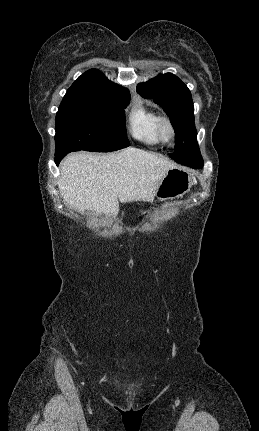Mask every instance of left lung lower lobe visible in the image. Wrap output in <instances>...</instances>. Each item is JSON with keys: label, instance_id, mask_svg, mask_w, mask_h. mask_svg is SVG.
I'll return each mask as SVG.
<instances>
[{"label": "left lung lower lobe", "instance_id": "0a47b994", "mask_svg": "<svg viewBox=\"0 0 259 431\" xmlns=\"http://www.w3.org/2000/svg\"><path fill=\"white\" fill-rule=\"evenodd\" d=\"M203 166V161L199 164H197V166L195 168H201Z\"/></svg>", "mask_w": 259, "mask_h": 431}]
</instances>
